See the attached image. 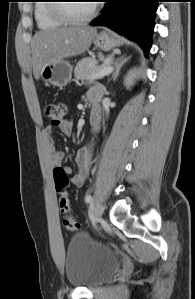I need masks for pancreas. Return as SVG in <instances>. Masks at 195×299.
<instances>
[{"mask_svg": "<svg viewBox=\"0 0 195 299\" xmlns=\"http://www.w3.org/2000/svg\"><path fill=\"white\" fill-rule=\"evenodd\" d=\"M109 63L97 66V60L94 57H86L80 60L74 69V76L78 80L90 79V77L105 66H110Z\"/></svg>", "mask_w": 195, "mask_h": 299, "instance_id": "pancreas-1", "label": "pancreas"}]
</instances>
